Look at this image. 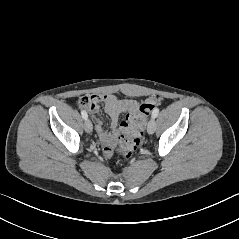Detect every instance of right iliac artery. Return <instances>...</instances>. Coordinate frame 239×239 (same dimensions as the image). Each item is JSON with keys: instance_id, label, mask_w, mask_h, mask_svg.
<instances>
[{"instance_id": "obj_1", "label": "right iliac artery", "mask_w": 239, "mask_h": 239, "mask_svg": "<svg viewBox=\"0 0 239 239\" xmlns=\"http://www.w3.org/2000/svg\"><path fill=\"white\" fill-rule=\"evenodd\" d=\"M81 115H82V118H83L84 120H87L88 115H87L86 111L82 110V111H81Z\"/></svg>"}]
</instances>
